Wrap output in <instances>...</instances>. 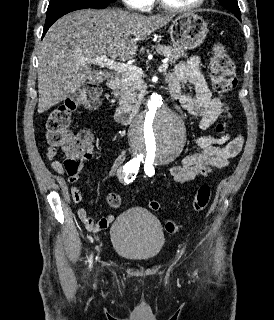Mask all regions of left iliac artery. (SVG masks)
<instances>
[{
  "label": "left iliac artery",
  "mask_w": 274,
  "mask_h": 320,
  "mask_svg": "<svg viewBox=\"0 0 274 320\" xmlns=\"http://www.w3.org/2000/svg\"><path fill=\"white\" fill-rule=\"evenodd\" d=\"M144 171L150 177L154 175L155 170H154V167H153V164H152L151 161H146L145 162Z\"/></svg>",
  "instance_id": "obj_1"
}]
</instances>
